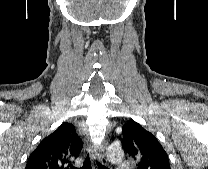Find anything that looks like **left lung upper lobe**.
<instances>
[{
  "mask_svg": "<svg viewBox=\"0 0 208 169\" xmlns=\"http://www.w3.org/2000/svg\"><path fill=\"white\" fill-rule=\"evenodd\" d=\"M123 148L136 160L137 169H170L169 159L153 134L131 120L122 127Z\"/></svg>",
  "mask_w": 208,
  "mask_h": 169,
  "instance_id": "left-lung-upper-lobe-1",
  "label": "left lung upper lobe"
}]
</instances>
